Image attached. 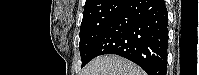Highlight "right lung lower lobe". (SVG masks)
Returning <instances> with one entry per match:
<instances>
[{
    "label": "right lung lower lobe",
    "mask_w": 199,
    "mask_h": 75,
    "mask_svg": "<svg viewBox=\"0 0 199 75\" xmlns=\"http://www.w3.org/2000/svg\"><path fill=\"white\" fill-rule=\"evenodd\" d=\"M168 16L164 0H128L92 50L125 57L148 75H166Z\"/></svg>",
    "instance_id": "obj_1"
}]
</instances>
